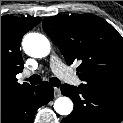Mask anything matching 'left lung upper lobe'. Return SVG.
Returning <instances> with one entry per match:
<instances>
[{
  "label": "left lung upper lobe",
  "instance_id": "obj_1",
  "mask_svg": "<svg viewBox=\"0 0 123 123\" xmlns=\"http://www.w3.org/2000/svg\"><path fill=\"white\" fill-rule=\"evenodd\" d=\"M42 24L69 65L81 62L79 87L123 98V38L116 29L93 14L48 17Z\"/></svg>",
  "mask_w": 123,
  "mask_h": 123
}]
</instances>
